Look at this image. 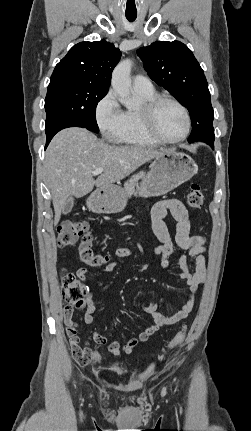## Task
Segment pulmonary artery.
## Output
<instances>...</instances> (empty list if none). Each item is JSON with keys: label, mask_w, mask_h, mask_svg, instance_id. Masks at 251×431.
<instances>
[{"label": "pulmonary artery", "mask_w": 251, "mask_h": 431, "mask_svg": "<svg viewBox=\"0 0 251 431\" xmlns=\"http://www.w3.org/2000/svg\"><path fill=\"white\" fill-rule=\"evenodd\" d=\"M133 88L138 92H151L154 90L151 81L143 75H135L133 78Z\"/></svg>", "instance_id": "1"}]
</instances>
